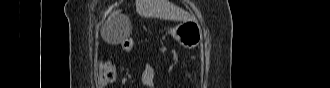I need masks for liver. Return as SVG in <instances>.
Wrapping results in <instances>:
<instances>
[{"mask_svg": "<svg viewBox=\"0 0 330 88\" xmlns=\"http://www.w3.org/2000/svg\"><path fill=\"white\" fill-rule=\"evenodd\" d=\"M136 11L142 17H157L183 21L193 19L188 13L179 10L168 0H136ZM128 24L130 25V23ZM107 41L113 42L108 38Z\"/></svg>", "mask_w": 330, "mask_h": 88, "instance_id": "1", "label": "liver"}]
</instances>
